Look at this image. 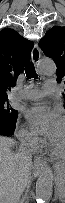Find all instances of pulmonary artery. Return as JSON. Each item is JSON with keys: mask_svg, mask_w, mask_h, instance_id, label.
Returning <instances> with one entry per match:
<instances>
[{"mask_svg": "<svg viewBox=\"0 0 65 203\" xmlns=\"http://www.w3.org/2000/svg\"><path fill=\"white\" fill-rule=\"evenodd\" d=\"M57 91L58 87L56 85L55 80L50 79L45 82L43 89H27L24 90L21 94H19V97L26 100H37Z\"/></svg>", "mask_w": 65, "mask_h": 203, "instance_id": "pulmonary-artery-1", "label": "pulmonary artery"}]
</instances>
